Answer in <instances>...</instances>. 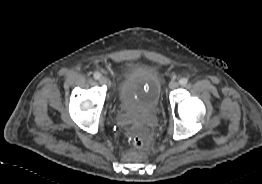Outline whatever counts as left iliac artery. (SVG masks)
<instances>
[{"instance_id":"44dca946","label":"left iliac artery","mask_w":262,"mask_h":184,"mask_svg":"<svg viewBox=\"0 0 262 184\" xmlns=\"http://www.w3.org/2000/svg\"><path fill=\"white\" fill-rule=\"evenodd\" d=\"M179 83H180V85H186L187 83H188V79L187 78H181L180 80H179Z\"/></svg>"}]
</instances>
